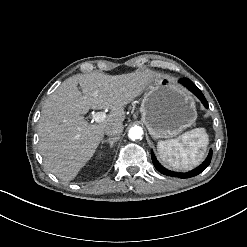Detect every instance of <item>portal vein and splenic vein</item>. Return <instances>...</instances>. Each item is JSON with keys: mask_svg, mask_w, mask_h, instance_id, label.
<instances>
[{"mask_svg": "<svg viewBox=\"0 0 247 247\" xmlns=\"http://www.w3.org/2000/svg\"><path fill=\"white\" fill-rule=\"evenodd\" d=\"M108 117L106 112H97L96 114L92 115V119L96 122H103Z\"/></svg>", "mask_w": 247, "mask_h": 247, "instance_id": "portal-vein-and-splenic-vein-1", "label": "portal vein and splenic vein"}]
</instances>
